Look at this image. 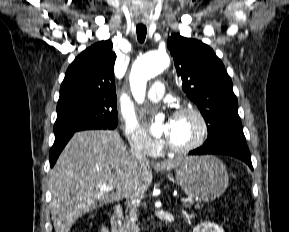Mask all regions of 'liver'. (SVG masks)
<instances>
[{
  "label": "liver",
  "instance_id": "obj_1",
  "mask_svg": "<svg viewBox=\"0 0 289 232\" xmlns=\"http://www.w3.org/2000/svg\"><path fill=\"white\" fill-rule=\"evenodd\" d=\"M181 160L154 163L170 171ZM150 163L127 150L116 131L91 130L74 134L50 172L51 217L55 232H69L77 219L107 203L143 194L152 182ZM115 189L102 191L99 185Z\"/></svg>",
  "mask_w": 289,
  "mask_h": 232
}]
</instances>
